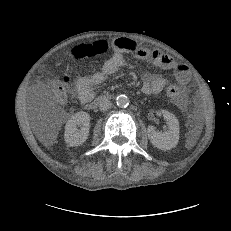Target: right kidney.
Returning a JSON list of instances; mask_svg holds the SVG:
<instances>
[{"label": "right kidney", "instance_id": "obj_1", "mask_svg": "<svg viewBox=\"0 0 231 231\" xmlns=\"http://www.w3.org/2000/svg\"><path fill=\"white\" fill-rule=\"evenodd\" d=\"M90 115L86 112H77L65 125L64 139L70 146L83 144L89 136ZM77 126L81 128L78 130Z\"/></svg>", "mask_w": 231, "mask_h": 231}]
</instances>
